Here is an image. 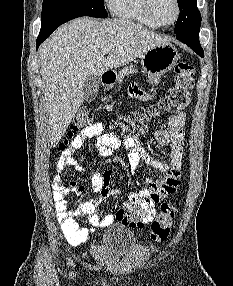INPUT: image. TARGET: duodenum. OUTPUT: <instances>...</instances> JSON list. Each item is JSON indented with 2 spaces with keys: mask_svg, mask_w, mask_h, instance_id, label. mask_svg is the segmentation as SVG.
Instances as JSON below:
<instances>
[{
  "mask_svg": "<svg viewBox=\"0 0 233 286\" xmlns=\"http://www.w3.org/2000/svg\"><path fill=\"white\" fill-rule=\"evenodd\" d=\"M101 81L105 87H110L115 81V74L112 71H106L102 74Z\"/></svg>",
  "mask_w": 233,
  "mask_h": 286,
  "instance_id": "obj_1",
  "label": "duodenum"
}]
</instances>
